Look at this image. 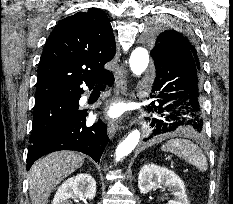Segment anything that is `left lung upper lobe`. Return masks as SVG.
I'll return each instance as SVG.
<instances>
[{"instance_id": "left-lung-upper-lobe-1", "label": "left lung upper lobe", "mask_w": 233, "mask_h": 204, "mask_svg": "<svg viewBox=\"0 0 233 204\" xmlns=\"http://www.w3.org/2000/svg\"><path fill=\"white\" fill-rule=\"evenodd\" d=\"M148 43L150 44L153 60L156 54L163 48L179 49L187 53L194 69L201 77V65L197 47L192 35L180 28L170 24H153L149 31Z\"/></svg>"}]
</instances>
